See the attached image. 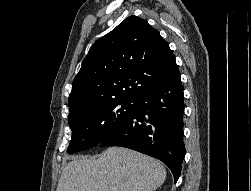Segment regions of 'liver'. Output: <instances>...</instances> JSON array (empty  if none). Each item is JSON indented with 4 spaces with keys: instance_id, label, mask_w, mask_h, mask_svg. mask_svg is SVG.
I'll use <instances>...</instances> for the list:
<instances>
[{
    "instance_id": "6515ba94",
    "label": "liver",
    "mask_w": 251,
    "mask_h": 191,
    "mask_svg": "<svg viewBox=\"0 0 251 191\" xmlns=\"http://www.w3.org/2000/svg\"><path fill=\"white\" fill-rule=\"evenodd\" d=\"M166 179L159 161L126 147H108L98 159L73 157L56 191H154Z\"/></svg>"
}]
</instances>
